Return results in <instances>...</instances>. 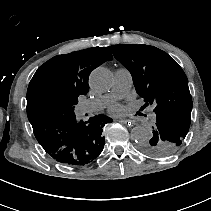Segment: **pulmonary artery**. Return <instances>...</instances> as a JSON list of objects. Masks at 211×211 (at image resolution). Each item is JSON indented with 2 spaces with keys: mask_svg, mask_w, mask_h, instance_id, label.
I'll use <instances>...</instances> for the list:
<instances>
[{
  "mask_svg": "<svg viewBox=\"0 0 211 211\" xmlns=\"http://www.w3.org/2000/svg\"><path fill=\"white\" fill-rule=\"evenodd\" d=\"M132 84L133 77L127 68L115 70V81L111 93L95 100L80 103L78 105L79 112L81 114H92L106 108L114 98L126 95ZM146 117L150 121H155L159 117V112L155 108H150L146 112Z\"/></svg>",
  "mask_w": 211,
  "mask_h": 211,
  "instance_id": "e3ab8cb5",
  "label": "pulmonary artery"
}]
</instances>
